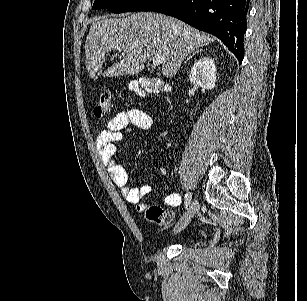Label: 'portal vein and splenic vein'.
I'll return each mask as SVG.
<instances>
[{
  "instance_id": "obj_1",
  "label": "portal vein and splenic vein",
  "mask_w": 307,
  "mask_h": 301,
  "mask_svg": "<svg viewBox=\"0 0 307 301\" xmlns=\"http://www.w3.org/2000/svg\"><path fill=\"white\" fill-rule=\"evenodd\" d=\"M120 52H126L127 48H119ZM162 62V56L160 54H154L152 56V64H155V66H159Z\"/></svg>"
}]
</instances>
